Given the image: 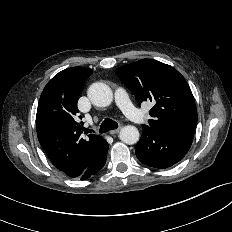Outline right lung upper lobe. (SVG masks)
<instances>
[{"label":"right lung upper lobe","mask_w":232,"mask_h":232,"mask_svg":"<svg viewBox=\"0 0 232 232\" xmlns=\"http://www.w3.org/2000/svg\"><path fill=\"white\" fill-rule=\"evenodd\" d=\"M92 72L80 67L59 72L43 89L37 108L38 140L55 167L72 178L79 177L107 144L94 134L82 138L83 122L77 118V101Z\"/></svg>","instance_id":"1"}]
</instances>
